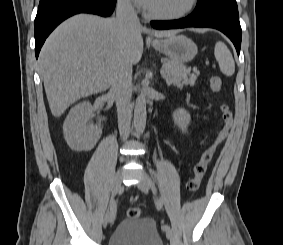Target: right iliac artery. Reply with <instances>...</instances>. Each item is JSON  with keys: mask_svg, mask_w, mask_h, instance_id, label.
<instances>
[{"mask_svg": "<svg viewBox=\"0 0 283 245\" xmlns=\"http://www.w3.org/2000/svg\"><path fill=\"white\" fill-rule=\"evenodd\" d=\"M109 208H110L111 219H112V222H113L114 219H115V216H116V211H117L116 200L113 197H111V199H110Z\"/></svg>", "mask_w": 283, "mask_h": 245, "instance_id": "right-iliac-artery-1", "label": "right iliac artery"}]
</instances>
